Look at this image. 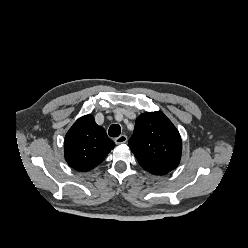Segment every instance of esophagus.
I'll use <instances>...</instances> for the list:
<instances>
[{
    "label": "esophagus",
    "instance_id": "esophagus-1",
    "mask_svg": "<svg viewBox=\"0 0 248 248\" xmlns=\"http://www.w3.org/2000/svg\"><path fill=\"white\" fill-rule=\"evenodd\" d=\"M114 142L116 144H123L127 142V136L126 135H120L119 137L114 139Z\"/></svg>",
    "mask_w": 248,
    "mask_h": 248
}]
</instances>
